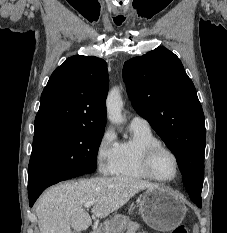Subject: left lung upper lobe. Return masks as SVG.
Segmentation results:
<instances>
[{
    "mask_svg": "<svg viewBox=\"0 0 227 233\" xmlns=\"http://www.w3.org/2000/svg\"><path fill=\"white\" fill-rule=\"evenodd\" d=\"M123 78L134 109L175 155L191 200L201 201L205 120L181 61L160 46L125 62Z\"/></svg>",
    "mask_w": 227,
    "mask_h": 233,
    "instance_id": "left-lung-upper-lobe-1",
    "label": "left lung upper lobe"
}]
</instances>
